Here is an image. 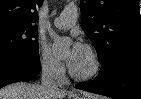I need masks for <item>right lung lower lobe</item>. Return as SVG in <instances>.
<instances>
[{
	"instance_id": "right-lung-lower-lobe-1",
	"label": "right lung lower lobe",
	"mask_w": 141,
	"mask_h": 99,
	"mask_svg": "<svg viewBox=\"0 0 141 99\" xmlns=\"http://www.w3.org/2000/svg\"><path fill=\"white\" fill-rule=\"evenodd\" d=\"M40 69L39 56L0 57V88L10 83L31 80L39 74Z\"/></svg>"
}]
</instances>
